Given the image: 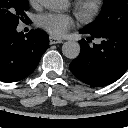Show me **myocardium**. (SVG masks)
<instances>
[{"label":"myocardium","instance_id":"f54148a6","mask_svg":"<svg viewBox=\"0 0 128 128\" xmlns=\"http://www.w3.org/2000/svg\"><path fill=\"white\" fill-rule=\"evenodd\" d=\"M73 6L83 22H91L101 14L105 0H75Z\"/></svg>","mask_w":128,"mask_h":128}]
</instances>
